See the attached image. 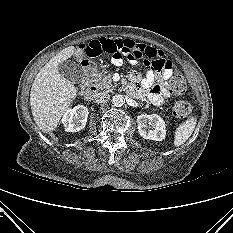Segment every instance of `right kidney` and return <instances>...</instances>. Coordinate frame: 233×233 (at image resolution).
Instances as JSON below:
<instances>
[{"mask_svg": "<svg viewBox=\"0 0 233 233\" xmlns=\"http://www.w3.org/2000/svg\"><path fill=\"white\" fill-rule=\"evenodd\" d=\"M88 114V108L83 105L68 109L61 120L65 130L67 132H77L83 129L86 125Z\"/></svg>", "mask_w": 233, "mask_h": 233, "instance_id": "right-kidney-1", "label": "right kidney"}]
</instances>
